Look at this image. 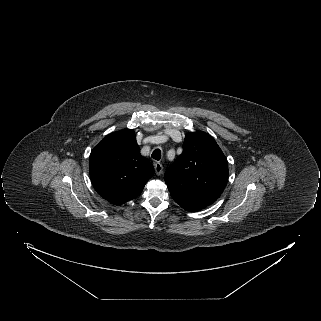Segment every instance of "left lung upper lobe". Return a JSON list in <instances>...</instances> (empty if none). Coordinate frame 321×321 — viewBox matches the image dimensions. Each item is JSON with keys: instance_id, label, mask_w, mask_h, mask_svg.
I'll use <instances>...</instances> for the list:
<instances>
[{"instance_id": "obj_1", "label": "left lung upper lobe", "mask_w": 321, "mask_h": 321, "mask_svg": "<svg viewBox=\"0 0 321 321\" xmlns=\"http://www.w3.org/2000/svg\"><path fill=\"white\" fill-rule=\"evenodd\" d=\"M172 198L185 210H201L222 194L228 162L216 141L204 132L186 134L183 153L164 175Z\"/></svg>"}]
</instances>
